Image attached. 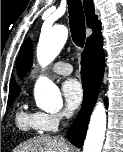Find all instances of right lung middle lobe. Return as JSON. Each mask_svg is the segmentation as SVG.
I'll return each instance as SVG.
<instances>
[{
	"label": "right lung middle lobe",
	"mask_w": 123,
	"mask_h": 152,
	"mask_svg": "<svg viewBox=\"0 0 123 152\" xmlns=\"http://www.w3.org/2000/svg\"><path fill=\"white\" fill-rule=\"evenodd\" d=\"M18 93H19V92L9 95V97H8V105H11V104H12L13 100L15 99V97L18 96Z\"/></svg>",
	"instance_id": "right-lung-middle-lobe-1"
}]
</instances>
